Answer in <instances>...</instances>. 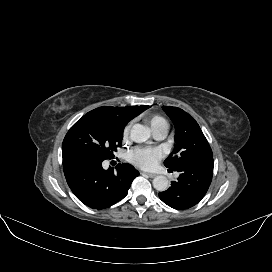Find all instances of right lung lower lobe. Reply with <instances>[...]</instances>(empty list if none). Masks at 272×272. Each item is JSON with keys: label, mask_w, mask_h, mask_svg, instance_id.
Returning a JSON list of instances; mask_svg holds the SVG:
<instances>
[{"label": "right lung lower lobe", "mask_w": 272, "mask_h": 272, "mask_svg": "<svg viewBox=\"0 0 272 272\" xmlns=\"http://www.w3.org/2000/svg\"><path fill=\"white\" fill-rule=\"evenodd\" d=\"M103 161L86 158L63 159V170L74 195L93 209H105L122 200L139 172L130 164L104 170Z\"/></svg>", "instance_id": "98d812e1"}]
</instances>
